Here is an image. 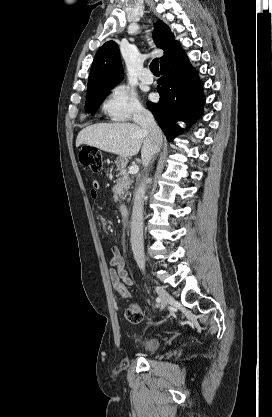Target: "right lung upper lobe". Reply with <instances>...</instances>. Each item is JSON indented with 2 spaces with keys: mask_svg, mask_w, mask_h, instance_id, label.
Listing matches in <instances>:
<instances>
[{
  "mask_svg": "<svg viewBox=\"0 0 272 417\" xmlns=\"http://www.w3.org/2000/svg\"><path fill=\"white\" fill-rule=\"evenodd\" d=\"M153 31V38L158 48L164 50V56L160 58V64L174 51L180 48L174 40V35L169 27L162 21H158ZM123 68L120 60V52L114 41H108L101 46L94 58L87 86V94L100 89L113 88L121 82Z\"/></svg>",
  "mask_w": 272,
  "mask_h": 417,
  "instance_id": "obj_1",
  "label": "right lung upper lobe"
}]
</instances>
